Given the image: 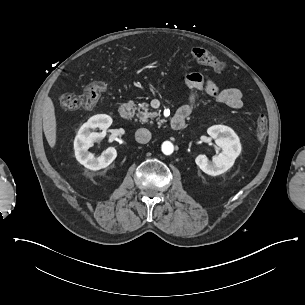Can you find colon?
Listing matches in <instances>:
<instances>
[{
	"instance_id": "1",
	"label": "colon",
	"mask_w": 305,
	"mask_h": 305,
	"mask_svg": "<svg viewBox=\"0 0 305 305\" xmlns=\"http://www.w3.org/2000/svg\"><path fill=\"white\" fill-rule=\"evenodd\" d=\"M193 57L199 63L209 66L216 73L224 72L225 64L216 59L206 48L195 47L193 49ZM121 63H125L124 59H120ZM108 89V84L103 78L93 79L85 86L84 92L80 96L65 93L60 97L61 106L65 109H91L101 95ZM268 130V120L265 114L261 113L256 119V140L259 144H263Z\"/></svg>"
}]
</instances>
